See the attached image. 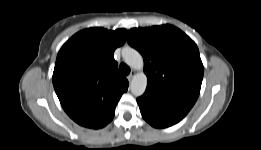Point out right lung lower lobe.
I'll list each match as a JSON object with an SVG mask.
<instances>
[{"instance_id":"right-lung-lower-lobe-1","label":"right lung lower lobe","mask_w":261,"mask_h":150,"mask_svg":"<svg viewBox=\"0 0 261 150\" xmlns=\"http://www.w3.org/2000/svg\"><path fill=\"white\" fill-rule=\"evenodd\" d=\"M114 112H115V111H114ZM114 112H113L108 118H106L104 121H102L100 124L96 125V126L93 127V128H95V129L101 128V127H104L106 124H108V123L113 119V117H114Z\"/></svg>"}]
</instances>
